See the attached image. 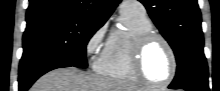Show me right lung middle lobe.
<instances>
[{
    "label": "right lung middle lobe",
    "mask_w": 220,
    "mask_h": 91,
    "mask_svg": "<svg viewBox=\"0 0 220 91\" xmlns=\"http://www.w3.org/2000/svg\"><path fill=\"white\" fill-rule=\"evenodd\" d=\"M100 27L96 23L71 18L27 24L19 73L53 60L87 68L86 45Z\"/></svg>",
    "instance_id": "right-lung-middle-lobe-1"
}]
</instances>
